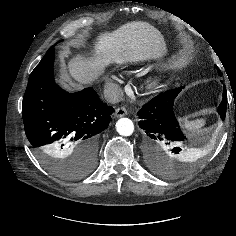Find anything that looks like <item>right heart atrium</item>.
<instances>
[{
    "instance_id": "obj_1",
    "label": "right heart atrium",
    "mask_w": 236,
    "mask_h": 236,
    "mask_svg": "<svg viewBox=\"0 0 236 236\" xmlns=\"http://www.w3.org/2000/svg\"><path fill=\"white\" fill-rule=\"evenodd\" d=\"M107 90L111 96H113L117 91V85L113 77H110L107 81Z\"/></svg>"
}]
</instances>
